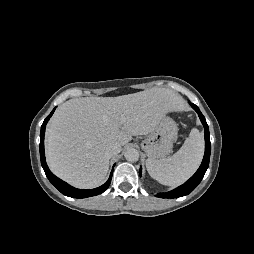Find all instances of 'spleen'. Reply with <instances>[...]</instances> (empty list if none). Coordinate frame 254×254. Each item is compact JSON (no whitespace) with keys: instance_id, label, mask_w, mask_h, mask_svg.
I'll return each instance as SVG.
<instances>
[{"instance_id":"3e777b00","label":"spleen","mask_w":254,"mask_h":254,"mask_svg":"<svg viewBox=\"0 0 254 254\" xmlns=\"http://www.w3.org/2000/svg\"><path fill=\"white\" fill-rule=\"evenodd\" d=\"M204 153V138L193 128L182 147L165 159L146 160L150 176L163 185L178 186L184 183L198 169Z\"/></svg>"}]
</instances>
